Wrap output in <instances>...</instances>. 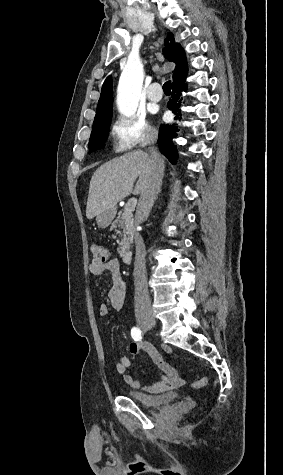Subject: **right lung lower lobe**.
<instances>
[{"label": "right lung lower lobe", "instance_id": "right-lung-lower-lobe-1", "mask_svg": "<svg viewBox=\"0 0 283 475\" xmlns=\"http://www.w3.org/2000/svg\"><path fill=\"white\" fill-rule=\"evenodd\" d=\"M186 76L187 72L176 77L172 83V98L169 100L167 106L175 115H177L175 119H177L178 116H181V110L179 107L183 100V98H181V92L187 91V85L185 84ZM179 131V127L174 124H162L159 129V149L172 164L176 163L178 157V151L176 146L173 144L172 139L177 137Z\"/></svg>", "mask_w": 283, "mask_h": 475}]
</instances>
